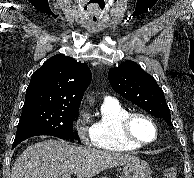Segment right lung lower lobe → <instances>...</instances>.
I'll return each instance as SVG.
<instances>
[{"label":"right lung lower lobe","mask_w":194,"mask_h":178,"mask_svg":"<svg viewBox=\"0 0 194 178\" xmlns=\"http://www.w3.org/2000/svg\"><path fill=\"white\" fill-rule=\"evenodd\" d=\"M36 135L38 134H28V135H22V136L16 137L12 145V148H15L20 142Z\"/></svg>","instance_id":"98d812e1"}]
</instances>
